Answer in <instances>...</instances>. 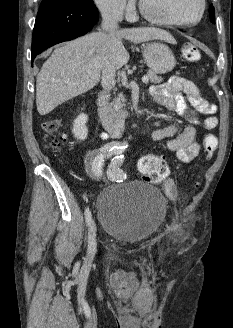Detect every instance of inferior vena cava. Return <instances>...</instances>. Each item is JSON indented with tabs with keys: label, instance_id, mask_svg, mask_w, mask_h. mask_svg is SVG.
I'll return each instance as SVG.
<instances>
[{
	"label": "inferior vena cava",
	"instance_id": "1",
	"mask_svg": "<svg viewBox=\"0 0 233 328\" xmlns=\"http://www.w3.org/2000/svg\"><path fill=\"white\" fill-rule=\"evenodd\" d=\"M122 18V10L119 7L105 9L102 11L101 27L107 32H114L118 29V21ZM116 68L114 63L107 59L104 62L101 76V85L106 90H111L116 84Z\"/></svg>",
	"mask_w": 233,
	"mask_h": 328
}]
</instances>
